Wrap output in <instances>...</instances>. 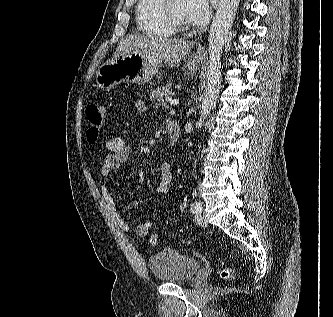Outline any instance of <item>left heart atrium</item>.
I'll use <instances>...</instances> for the list:
<instances>
[{"label":"left heart atrium","instance_id":"obj_1","mask_svg":"<svg viewBox=\"0 0 333 317\" xmlns=\"http://www.w3.org/2000/svg\"><path fill=\"white\" fill-rule=\"evenodd\" d=\"M188 18L193 25L205 23L210 15L208 0H186Z\"/></svg>","mask_w":333,"mask_h":317}]
</instances>
